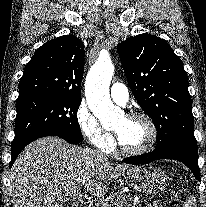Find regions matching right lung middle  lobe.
<instances>
[{
    "label": "right lung middle lobe",
    "mask_w": 206,
    "mask_h": 207,
    "mask_svg": "<svg viewBox=\"0 0 206 207\" xmlns=\"http://www.w3.org/2000/svg\"><path fill=\"white\" fill-rule=\"evenodd\" d=\"M81 99L36 95L17 100L12 148L41 133L55 132L82 141L76 112Z\"/></svg>",
    "instance_id": "right-lung-middle-lobe-1"
}]
</instances>
